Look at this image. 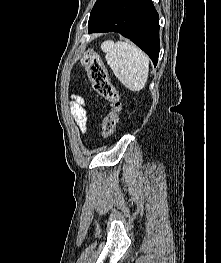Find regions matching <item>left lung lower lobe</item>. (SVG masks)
Listing matches in <instances>:
<instances>
[{"label": "left lung lower lobe", "mask_w": 221, "mask_h": 263, "mask_svg": "<svg viewBox=\"0 0 221 263\" xmlns=\"http://www.w3.org/2000/svg\"><path fill=\"white\" fill-rule=\"evenodd\" d=\"M118 32L157 64L160 51L159 15L151 0H101L89 18V33Z\"/></svg>", "instance_id": "left-lung-lower-lobe-1"}]
</instances>
